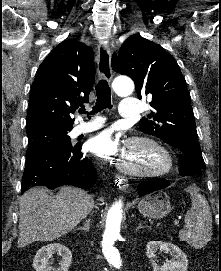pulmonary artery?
Returning <instances> with one entry per match:
<instances>
[{
  "label": "pulmonary artery",
  "mask_w": 221,
  "mask_h": 271,
  "mask_svg": "<svg viewBox=\"0 0 221 271\" xmlns=\"http://www.w3.org/2000/svg\"><path fill=\"white\" fill-rule=\"evenodd\" d=\"M121 103V117H138V112H144L145 102H140L139 98H123ZM108 120V119H105ZM97 122V123H96ZM103 117H91V121L88 123L90 126H101L103 123ZM92 130L83 126H80V133H88Z\"/></svg>",
  "instance_id": "pulmonary-artery-1"
}]
</instances>
